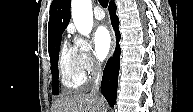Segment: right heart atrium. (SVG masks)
<instances>
[{
	"label": "right heart atrium",
	"instance_id": "1",
	"mask_svg": "<svg viewBox=\"0 0 193 112\" xmlns=\"http://www.w3.org/2000/svg\"><path fill=\"white\" fill-rule=\"evenodd\" d=\"M73 48L82 70L89 75L96 74L100 69V64L93 55L90 43L81 37H74Z\"/></svg>",
	"mask_w": 193,
	"mask_h": 112
}]
</instances>
